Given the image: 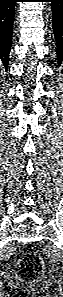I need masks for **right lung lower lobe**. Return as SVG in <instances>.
<instances>
[{
    "label": "right lung lower lobe",
    "mask_w": 63,
    "mask_h": 297,
    "mask_svg": "<svg viewBox=\"0 0 63 297\" xmlns=\"http://www.w3.org/2000/svg\"><path fill=\"white\" fill-rule=\"evenodd\" d=\"M16 0H0V61L8 68Z\"/></svg>",
    "instance_id": "right-lung-lower-lobe-1"
}]
</instances>
